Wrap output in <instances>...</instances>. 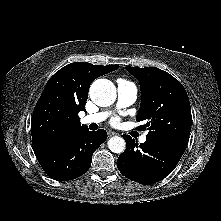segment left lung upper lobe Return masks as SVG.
Masks as SVG:
<instances>
[{
  "label": "left lung upper lobe",
  "instance_id": "obj_1",
  "mask_svg": "<svg viewBox=\"0 0 221 221\" xmlns=\"http://www.w3.org/2000/svg\"><path fill=\"white\" fill-rule=\"evenodd\" d=\"M141 85V107L137 122L146 121L147 139L184 153L192 124L188 95L172 75L155 67H126Z\"/></svg>",
  "mask_w": 221,
  "mask_h": 221
}]
</instances>
